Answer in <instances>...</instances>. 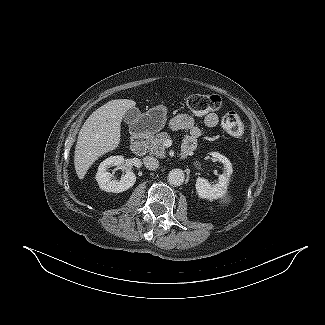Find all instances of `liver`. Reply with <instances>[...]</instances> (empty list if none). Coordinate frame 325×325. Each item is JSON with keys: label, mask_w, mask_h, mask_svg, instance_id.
<instances>
[{"label": "liver", "mask_w": 325, "mask_h": 325, "mask_svg": "<svg viewBox=\"0 0 325 325\" xmlns=\"http://www.w3.org/2000/svg\"><path fill=\"white\" fill-rule=\"evenodd\" d=\"M135 104V101L128 99L111 100L96 109L85 121L74 153V166L79 179L84 178L99 157L118 147L122 118Z\"/></svg>", "instance_id": "obj_1"}]
</instances>
